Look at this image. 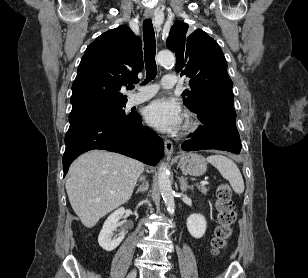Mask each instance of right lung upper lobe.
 <instances>
[{
	"label": "right lung upper lobe",
	"mask_w": 308,
	"mask_h": 278,
	"mask_svg": "<svg viewBox=\"0 0 308 278\" xmlns=\"http://www.w3.org/2000/svg\"><path fill=\"white\" fill-rule=\"evenodd\" d=\"M143 69L142 42L127 26L100 35L86 49L72 85L69 116L126 103L119 91Z\"/></svg>",
	"instance_id": "obj_1"
}]
</instances>
